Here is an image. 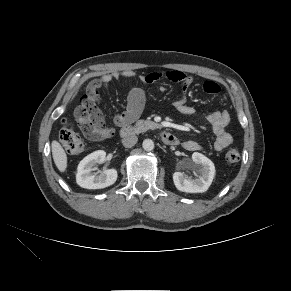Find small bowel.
Here are the masks:
<instances>
[{
	"mask_svg": "<svg viewBox=\"0 0 291 291\" xmlns=\"http://www.w3.org/2000/svg\"><path fill=\"white\" fill-rule=\"evenodd\" d=\"M162 78H166L172 82L180 83V92L178 97L173 101L174 108L181 114L193 115L196 113V109L186 103V89L193 83V78L185 73L177 70L169 71L167 73L150 72L142 75H137L133 71L113 72L110 74H104L101 77L91 81L88 85L90 89H100L107 87L114 80L138 79L145 84L155 83ZM203 89L206 93L216 95L220 92L219 85L214 81H206L203 84ZM223 100L226 97L222 96ZM145 104V92L143 89L137 86H132L128 92L126 109L114 118V123L118 126L130 124L139 118ZM100 113V111H99ZM207 121L210 124L216 139L214 141V149L221 151L233 142L231 134L228 132L227 127L230 121V116L227 110L215 111L207 115ZM113 130L107 127L104 123L102 115L100 113L99 121L94 125L91 133L86 134L93 140H102L112 135ZM184 149L188 151H197L201 149V145L194 140H187L182 143Z\"/></svg>",
	"mask_w": 291,
	"mask_h": 291,
	"instance_id": "obj_1",
	"label": "small bowel"
}]
</instances>
